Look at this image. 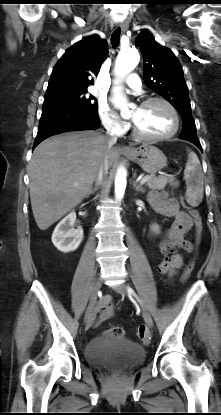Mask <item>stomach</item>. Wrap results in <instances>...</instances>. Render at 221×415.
Returning <instances> with one entry per match:
<instances>
[{
  "mask_svg": "<svg viewBox=\"0 0 221 415\" xmlns=\"http://www.w3.org/2000/svg\"><path fill=\"white\" fill-rule=\"evenodd\" d=\"M125 156L137 163L145 172L155 174L167 164V157L157 147L144 143L137 148L124 153Z\"/></svg>",
  "mask_w": 221,
  "mask_h": 415,
  "instance_id": "stomach-1",
  "label": "stomach"
}]
</instances>
